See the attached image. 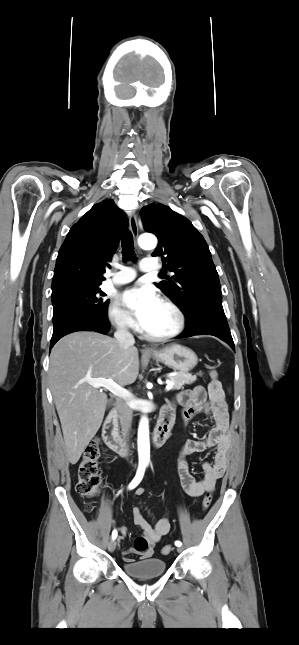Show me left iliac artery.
Returning a JSON list of instances; mask_svg holds the SVG:
<instances>
[{
  "mask_svg": "<svg viewBox=\"0 0 299 645\" xmlns=\"http://www.w3.org/2000/svg\"><path fill=\"white\" fill-rule=\"evenodd\" d=\"M175 545H176L177 547H180V546L182 545V543H181V541H175Z\"/></svg>",
  "mask_w": 299,
  "mask_h": 645,
  "instance_id": "1",
  "label": "left iliac artery"
}]
</instances>
